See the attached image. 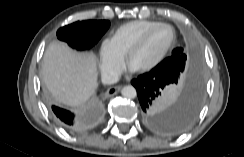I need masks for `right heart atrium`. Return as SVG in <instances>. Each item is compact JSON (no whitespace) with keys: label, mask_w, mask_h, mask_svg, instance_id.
Here are the masks:
<instances>
[{"label":"right heart atrium","mask_w":244,"mask_h":157,"mask_svg":"<svg viewBox=\"0 0 244 157\" xmlns=\"http://www.w3.org/2000/svg\"><path fill=\"white\" fill-rule=\"evenodd\" d=\"M123 65L121 56L112 46L109 40L102 42L100 47V72L106 81H111L120 72Z\"/></svg>","instance_id":"obj_1"}]
</instances>
